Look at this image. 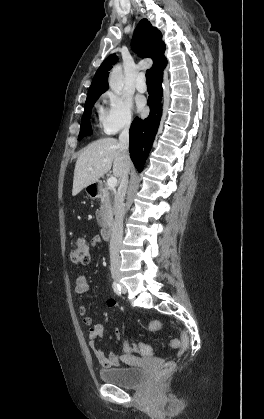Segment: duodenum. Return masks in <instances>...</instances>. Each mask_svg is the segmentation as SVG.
I'll use <instances>...</instances> for the list:
<instances>
[{"label":"duodenum","mask_w":264,"mask_h":419,"mask_svg":"<svg viewBox=\"0 0 264 419\" xmlns=\"http://www.w3.org/2000/svg\"><path fill=\"white\" fill-rule=\"evenodd\" d=\"M100 187L99 185H93L91 188V193L93 196H97L99 194ZM114 231V224L112 222H109L105 224L101 230L102 238L105 240H109L113 236Z\"/></svg>","instance_id":"obj_1"}]
</instances>
